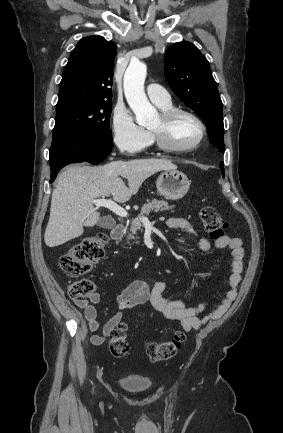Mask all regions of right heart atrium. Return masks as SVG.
<instances>
[{
	"mask_svg": "<svg viewBox=\"0 0 283 433\" xmlns=\"http://www.w3.org/2000/svg\"><path fill=\"white\" fill-rule=\"evenodd\" d=\"M110 129L114 146L124 154H139L143 145L151 143L150 133L135 123L134 116L128 109L118 106L113 108Z\"/></svg>",
	"mask_w": 283,
	"mask_h": 433,
	"instance_id": "obj_1",
	"label": "right heart atrium"
}]
</instances>
